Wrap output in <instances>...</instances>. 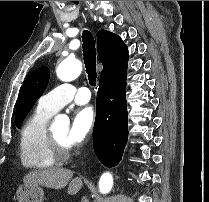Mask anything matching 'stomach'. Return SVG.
I'll return each instance as SVG.
<instances>
[{
    "instance_id": "0dacf381",
    "label": "stomach",
    "mask_w": 209,
    "mask_h": 202,
    "mask_svg": "<svg viewBox=\"0 0 209 202\" xmlns=\"http://www.w3.org/2000/svg\"><path fill=\"white\" fill-rule=\"evenodd\" d=\"M18 202H43L44 191L39 185H20L16 191Z\"/></svg>"
}]
</instances>
